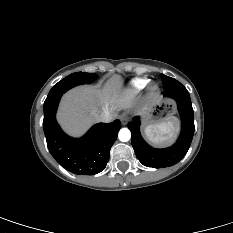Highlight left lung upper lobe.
<instances>
[{"mask_svg": "<svg viewBox=\"0 0 233 233\" xmlns=\"http://www.w3.org/2000/svg\"><path fill=\"white\" fill-rule=\"evenodd\" d=\"M161 79L163 81V88H168L171 87L172 85H174L176 82H178L177 80H175L174 78L168 77L164 74H161Z\"/></svg>", "mask_w": 233, "mask_h": 233, "instance_id": "5c2ea615", "label": "left lung upper lobe"}]
</instances>
